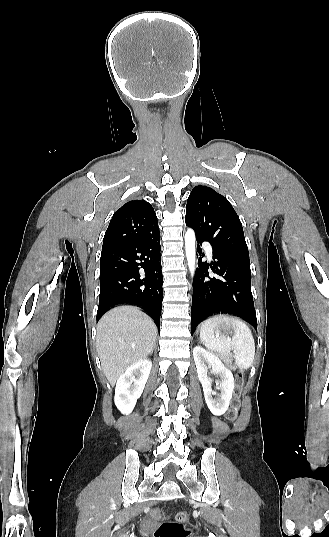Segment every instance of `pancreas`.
Instances as JSON below:
<instances>
[{
    "label": "pancreas",
    "mask_w": 329,
    "mask_h": 537,
    "mask_svg": "<svg viewBox=\"0 0 329 537\" xmlns=\"http://www.w3.org/2000/svg\"><path fill=\"white\" fill-rule=\"evenodd\" d=\"M219 357L227 364L229 365L232 369L234 368V366L231 365V361L225 357V356H222V355H219Z\"/></svg>",
    "instance_id": "cf45deb5"
}]
</instances>
